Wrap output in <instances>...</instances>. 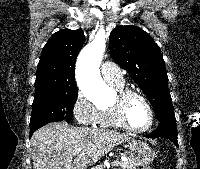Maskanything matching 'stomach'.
Listing matches in <instances>:
<instances>
[{"instance_id":"1","label":"stomach","mask_w":200,"mask_h":169,"mask_svg":"<svg viewBox=\"0 0 200 169\" xmlns=\"http://www.w3.org/2000/svg\"><path fill=\"white\" fill-rule=\"evenodd\" d=\"M129 156L137 166H147L155 158L154 151L143 141H130L127 145Z\"/></svg>"}]
</instances>
